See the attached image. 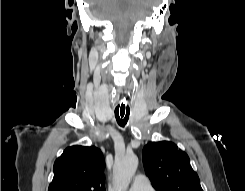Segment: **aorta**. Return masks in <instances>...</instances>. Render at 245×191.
<instances>
[{
    "label": "aorta",
    "instance_id": "obj_1",
    "mask_svg": "<svg viewBox=\"0 0 245 191\" xmlns=\"http://www.w3.org/2000/svg\"><path fill=\"white\" fill-rule=\"evenodd\" d=\"M137 167L138 159L134 154H125L116 158L113 167L115 191H128Z\"/></svg>",
    "mask_w": 245,
    "mask_h": 191
}]
</instances>
